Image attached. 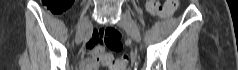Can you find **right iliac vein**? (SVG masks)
Segmentation results:
<instances>
[{"instance_id":"right-iliac-vein-1","label":"right iliac vein","mask_w":238,"mask_h":70,"mask_svg":"<svg viewBox=\"0 0 238 70\" xmlns=\"http://www.w3.org/2000/svg\"><path fill=\"white\" fill-rule=\"evenodd\" d=\"M90 26V20L89 17H85L82 20H80L78 27H77V32H76V43L80 44L85 36V33Z\"/></svg>"}]
</instances>
